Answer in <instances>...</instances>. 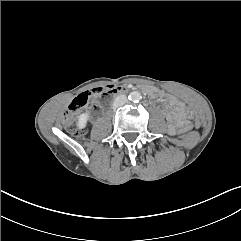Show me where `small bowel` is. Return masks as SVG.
Here are the masks:
<instances>
[{
  "label": "small bowel",
  "instance_id": "obj_1",
  "mask_svg": "<svg viewBox=\"0 0 241 241\" xmlns=\"http://www.w3.org/2000/svg\"><path fill=\"white\" fill-rule=\"evenodd\" d=\"M167 99L173 107V111L168 115L167 119L169 123L170 132L174 133L173 131L176 127L187 125V121L185 120V105L183 102L174 97H168Z\"/></svg>",
  "mask_w": 241,
  "mask_h": 241
}]
</instances>
